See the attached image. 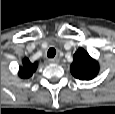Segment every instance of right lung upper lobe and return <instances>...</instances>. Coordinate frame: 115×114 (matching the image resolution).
<instances>
[{
	"mask_svg": "<svg viewBox=\"0 0 115 114\" xmlns=\"http://www.w3.org/2000/svg\"><path fill=\"white\" fill-rule=\"evenodd\" d=\"M38 63H31L28 58H24L22 61V66L19 68V76L23 79H27L33 75L36 71Z\"/></svg>",
	"mask_w": 115,
	"mask_h": 114,
	"instance_id": "right-lung-upper-lobe-1",
	"label": "right lung upper lobe"
}]
</instances>
